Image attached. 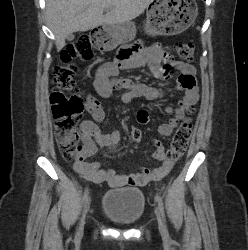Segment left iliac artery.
I'll return each instance as SVG.
<instances>
[{
    "label": "left iliac artery",
    "mask_w": 248,
    "mask_h": 250,
    "mask_svg": "<svg viewBox=\"0 0 248 250\" xmlns=\"http://www.w3.org/2000/svg\"><path fill=\"white\" fill-rule=\"evenodd\" d=\"M156 201L158 202V206H159V210L161 212L162 218H163V222H164V233L166 235H168V230H167V225H166V219H165V211H164V206H163V202H162V198L160 196H156Z\"/></svg>",
    "instance_id": "obj_1"
}]
</instances>
